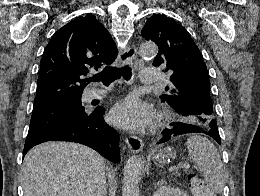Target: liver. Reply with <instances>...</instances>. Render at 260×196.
<instances>
[{"label":"liver","mask_w":260,"mask_h":196,"mask_svg":"<svg viewBox=\"0 0 260 196\" xmlns=\"http://www.w3.org/2000/svg\"><path fill=\"white\" fill-rule=\"evenodd\" d=\"M105 160L82 144L44 142L24 158V196H103Z\"/></svg>","instance_id":"liver-1"}]
</instances>
